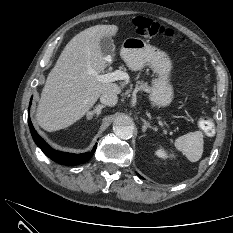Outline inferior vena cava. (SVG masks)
Listing matches in <instances>:
<instances>
[{
    "label": "inferior vena cava",
    "instance_id": "obj_1",
    "mask_svg": "<svg viewBox=\"0 0 233 233\" xmlns=\"http://www.w3.org/2000/svg\"><path fill=\"white\" fill-rule=\"evenodd\" d=\"M117 94L111 91L104 92L100 97V102L106 106H114L117 104Z\"/></svg>",
    "mask_w": 233,
    "mask_h": 233
}]
</instances>
